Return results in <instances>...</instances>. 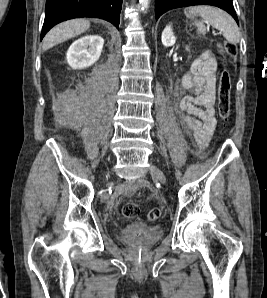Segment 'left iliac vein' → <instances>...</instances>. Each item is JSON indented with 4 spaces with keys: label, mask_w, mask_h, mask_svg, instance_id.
Listing matches in <instances>:
<instances>
[{
    "label": "left iliac vein",
    "mask_w": 267,
    "mask_h": 298,
    "mask_svg": "<svg viewBox=\"0 0 267 298\" xmlns=\"http://www.w3.org/2000/svg\"><path fill=\"white\" fill-rule=\"evenodd\" d=\"M150 173L151 175L159 180L162 184L166 183V177L164 173L155 165L150 166Z\"/></svg>",
    "instance_id": "4c4485c4"
}]
</instances>
